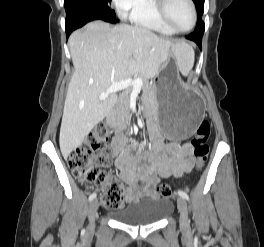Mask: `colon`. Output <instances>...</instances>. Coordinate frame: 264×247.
I'll return each instance as SVG.
<instances>
[{"instance_id":"obj_1","label":"colon","mask_w":264,"mask_h":247,"mask_svg":"<svg viewBox=\"0 0 264 247\" xmlns=\"http://www.w3.org/2000/svg\"><path fill=\"white\" fill-rule=\"evenodd\" d=\"M211 127L203 120L197 127L191 145L196 159V169L200 170L205 164L209 146L207 144ZM109 130L106 126H98L86 140L79 145L68 157L67 163L72 174L88 187L102 188L101 202L107 209H118L124 205L122 186L116 177L108 174L104 167L108 162ZM162 198L170 197L171 189L162 184L157 187Z\"/></svg>"}]
</instances>
